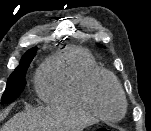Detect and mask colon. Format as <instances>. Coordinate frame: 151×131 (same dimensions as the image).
<instances>
[{
  "label": "colon",
  "instance_id": "5ec220e1",
  "mask_svg": "<svg viewBox=\"0 0 151 131\" xmlns=\"http://www.w3.org/2000/svg\"><path fill=\"white\" fill-rule=\"evenodd\" d=\"M95 131H122L119 128L99 127Z\"/></svg>",
  "mask_w": 151,
  "mask_h": 131
}]
</instances>
